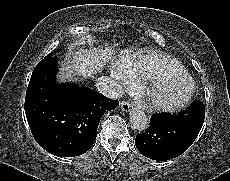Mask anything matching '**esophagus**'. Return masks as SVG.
Returning a JSON list of instances; mask_svg holds the SVG:
<instances>
[{"label":"esophagus","mask_w":230,"mask_h":181,"mask_svg":"<svg viewBox=\"0 0 230 181\" xmlns=\"http://www.w3.org/2000/svg\"><path fill=\"white\" fill-rule=\"evenodd\" d=\"M132 105L129 101H123L121 103V109L124 111V112H129L130 109H131Z\"/></svg>","instance_id":"esophagus-1"}]
</instances>
